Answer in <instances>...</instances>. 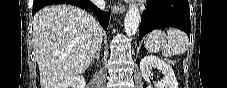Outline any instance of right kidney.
<instances>
[{
    "label": "right kidney",
    "mask_w": 227,
    "mask_h": 88,
    "mask_svg": "<svg viewBox=\"0 0 227 88\" xmlns=\"http://www.w3.org/2000/svg\"><path fill=\"white\" fill-rule=\"evenodd\" d=\"M85 79L83 76L77 75L64 80L56 86V88H85Z\"/></svg>",
    "instance_id": "1"
}]
</instances>
